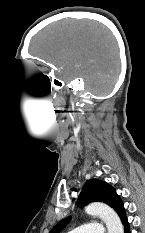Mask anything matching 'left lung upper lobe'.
<instances>
[{"mask_svg":"<svg viewBox=\"0 0 145 233\" xmlns=\"http://www.w3.org/2000/svg\"><path fill=\"white\" fill-rule=\"evenodd\" d=\"M94 201L103 202L113 208L121 218L122 223L127 220L122 200L117 195L116 190L108 183L98 179H91L85 183L77 203L80 207H83ZM70 219L68 217L59 222L50 233H59L69 223Z\"/></svg>","mask_w":145,"mask_h":233,"instance_id":"1","label":"left lung upper lobe"}]
</instances>
